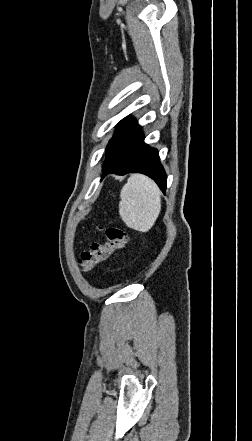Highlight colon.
<instances>
[{
    "label": "colon",
    "instance_id": "colon-1",
    "mask_svg": "<svg viewBox=\"0 0 252 441\" xmlns=\"http://www.w3.org/2000/svg\"><path fill=\"white\" fill-rule=\"evenodd\" d=\"M106 241L94 242L90 248L82 252L79 265L84 272H90L100 263L109 258L115 251L123 249L128 241V235L124 229L118 226H109L103 229Z\"/></svg>",
    "mask_w": 252,
    "mask_h": 441
}]
</instances>
